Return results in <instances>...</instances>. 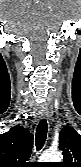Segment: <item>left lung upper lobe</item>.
Returning <instances> with one entry per match:
<instances>
[{
    "label": "left lung upper lobe",
    "instance_id": "obj_1",
    "mask_svg": "<svg viewBox=\"0 0 81 167\" xmlns=\"http://www.w3.org/2000/svg\"><path fill=\"white\" fill-rule=\"evenodd\" d=\"M59 148L63 151L64 162L58 167H81V135L74 128L61 130Z\"/></svg>",
    "mask_w": 81,
    "mask_h": 167
}]
</instances>
